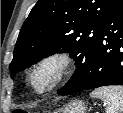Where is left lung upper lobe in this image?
<instances>
[{"mask_svg":"<svg viewBox=\"0 0 123 113\" xmlns=\"http://www.w3.org/2000/svg\"><path fill=\"white\" fill-rule=\"evenodd\" d=\"M113 0H39L25 20L9 69L11 73L54 53H70L77 70L62 93L84 80Z\"/></svg>","mask_w":123,"mask_h":113,"instance_id":"left-lung-upper-lobe-1","label":"left lung upper lobe"}]
</instances>
